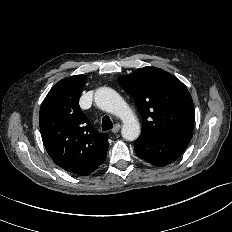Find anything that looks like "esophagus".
<instances>
[{"instance_id":"esophagus-1","label":"esophagus","mask_w":232,"mask_h":232,"mask_svg":"<svg viewBox=\"0 0 232 232\" xmlns=\"http://www.w3.org/2000/svg\"><path fill=\"white\" fill-rule=\"evenodd\" d=\"M120 128H121L120 124H115L111 131L113 133H117L120 130Z\"/></svg>"}]
</instances>
